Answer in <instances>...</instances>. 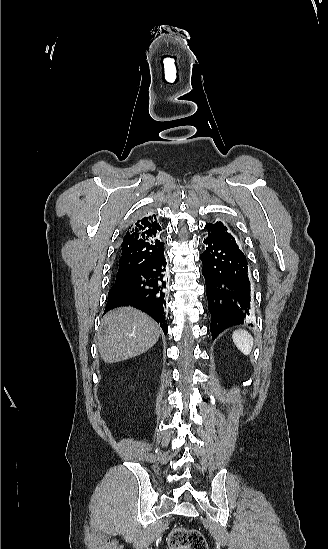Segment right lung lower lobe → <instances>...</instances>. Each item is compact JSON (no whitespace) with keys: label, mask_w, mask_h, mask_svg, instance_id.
<instances>
[{"label":"right lung lower lobe","mask_w":328,"mask_h":549,"mask_svg":"<svg viewBox=\"0 0 328 549\" xmlns=\"http://www.w3.org/2000/svg\"><path fill=\"white\" fill-rule=\"evenodd\" d=\"M167 280L163 251L135 274L116 281L112 285L108 293L105 312L121 306H133L160 323L166 335L168 325L164 313L166 305L164 298Z\"/></svg>","instance_id":"1"}]
</instances>
